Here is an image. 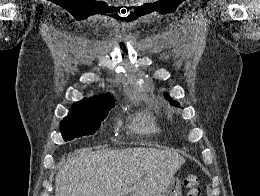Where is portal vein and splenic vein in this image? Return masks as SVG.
Returning <instances> with one entry per match:
<instances>
[{
    "mask_svg": "<svg viewBox=\"0 0 260 196\" xmlns=\"http://www.w3.org/2000/svg\"><path fill=\"white\" fill-rule=\"evenodd\" d=\"M130 188H125V190H122V192H124V194H127V192H129Z\"/></svg>",
    "mask_w": 260,
    "mask_h": 196,
    "instance_id": "1",
    "label": "portal vein and splenic vein"
}]
</instances>
